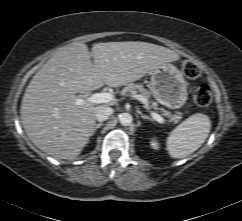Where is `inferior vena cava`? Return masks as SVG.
<instances>
[{
  "label": "inferior vena cava",
  "mask_w": 242,
  "mask_h": 221,
  "mask_svg": "<svg viewBox=\"0 0 242 221\" xmlns=\"http://www.w3.org/2000/svg\"><path fill=\"white\" fill-rule=\"evenodd\" d=\"M113 113V109L107 106H98L95 109V118L98 121L107 120Z\"/></svg>",
  "instance_id": "1"
}]
</instances>
